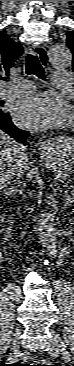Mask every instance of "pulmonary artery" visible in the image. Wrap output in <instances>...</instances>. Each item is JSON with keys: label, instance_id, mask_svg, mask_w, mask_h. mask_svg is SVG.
<instances>
[{"label": "pulmonary artery", "instance_id": "1", "mask_svg": "<svg viewBox=\"0 0 74 366\" xmlns=\"http://www.w3.org/2000/svg\"><path fill=\"white\" fill-rule=\"evenodd\" d=\"M53 86L55 88L63 89L67 88L72 76L65 70H56L52 73ZM34 90V85L28 80H15L10 82L5 89V92L11 95H23L30 93Z\"/></svg>", "mask_w": 74, "mask_h": 366}]
</instances>
